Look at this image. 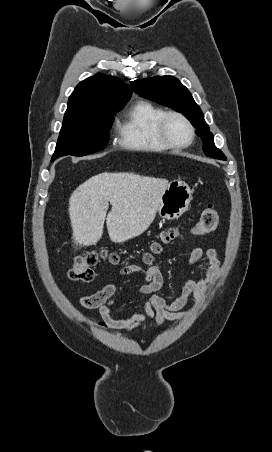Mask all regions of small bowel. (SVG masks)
I'll return each instance as SVG.
<instances>
[{
	"label": "small bowel",
	"instance_id": "1",
	"mask_svg": "<svg viewBox=\"0 0 272 452\" xmlns=\"http://www.w3.org/2000/svg\"><path fill=\"white\" fill-rule=\"evenodd\" d=\"M209 262V267L198 280L188 279L184 282L181 294L174 301L168 302L157 294L164 283V275L160 267L149 262L144 266L127 264L121 269V275L137 274L144 278L145 283L135 288L137 295L145 296L144 312L135 313L129 318H120L111 314V308L116 303L117 287L108 284L101 290L81 298V305L88 310H97L100 319L97 325L100 328H111L120 332H129L141 327L150 319L160 326L166 320L180 321L185 316L184 308L193 299L198 301L207 291L209 283L219 276L222 268L221 257L214 248L203 250L196 246L192 249L187 266L196 265L203 257Z\"/></svg>",
	"mask_w": 272,
	"mask_h": 452
}]
</instances>
